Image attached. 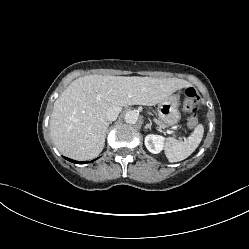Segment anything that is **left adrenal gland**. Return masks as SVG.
Masks as SVG:
<instances>
[{
    "instance_id": "a2214340",
    "label": "left adrenal gland",
    "mask_w": 249,
    "mask_h": 249,
    "mask_svg": "<svg viewBox=\"0 0 249 249\" xmlns=\"http://www.w3.org/2000/svg\"><path fill=\"white\" fill-rule=\"evenodd\" d=\"M151 125H152L151 122L149 124H146L145 129H150L151 130Z\"/></svg>"
}]
</instances>
